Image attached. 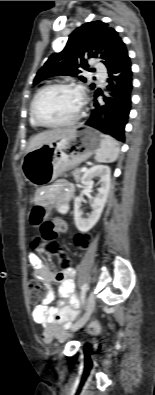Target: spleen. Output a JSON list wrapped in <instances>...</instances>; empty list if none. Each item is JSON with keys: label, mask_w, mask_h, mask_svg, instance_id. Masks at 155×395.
I'll return each mask as SVG.
<instances>
[{"label": "spleen", "mask_w": 155, "mask_h": 395, "mask_svg": "<svg viewBox=\"0 0 155 395\" xmlns=\"http://www.w3.org/2000/svg\"><path fill=\"white\" fill-rule=\"evenodd\" d=\"M101 144L96 152L95 160L100 163H112L119 155V144L111 136L102 134Z\"/></svg>", "instance_id": "3e777b00"}]
</instances>
